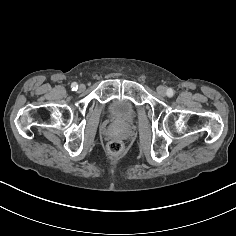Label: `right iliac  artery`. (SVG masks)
Masks as SVG:
<instances>
[{
    "label": "right iliac artery",
    "instance_id": "82829eb1",
    "mask_svg": "<svg viewBox=\"0 0 236 236\" xmlns=\"http://www.w3.org/2000/svg\"><path fill=\"white\" fill-rule=\"evenodd\" d=\"M71 88L73 91H76L77 88H78V84L76 82H73L72 85H71Z\"/></svg>",
    "mask_w": 236,
    "mask_h": 236
}]
</instances>
